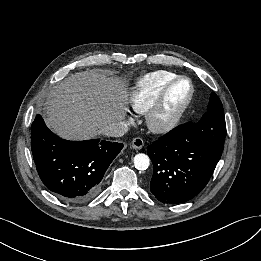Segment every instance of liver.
<instances>
[{
    "mask_svg": "<svg viewBox=\"0 0 261 261\" xmlns=\"http://www.w3.org/2000/svg\"><path fill=\"white\" fill-rule=\"evenodd\" d=\"M45 104V122L50 129L65 139L83 140L125 118L127 93L119 80L90 70L57 84Z\"/></svg>",
    "mask_w": 261,
    "mask_h": 261,
    "instance_id": "1",
    "label": "liver"
}]
</instances>
